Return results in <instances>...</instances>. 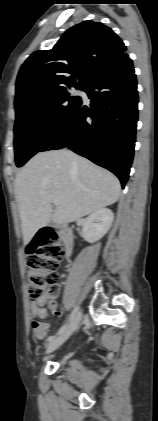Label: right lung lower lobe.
<instances>
[{
  "mask_svg": "<svg viewBox=\"0 0 158 421\" xmlns=\"http://www.w3.org/2000/svg\"><path fill=\"white\" fill-rule=\"evenodd\" d=\"M83 90L91 100L90 107L81 101L39 152L67 146L113 172L124 187L133 160L138 119L137 81L128 54L106 64Z\"/></svg>",
  "mask_w": 158,
  "mask_h": 421,
  "instance_id": "right-lung-lower-lobe-1",
  "label": "right lung lower lobe"
}]
</instances>
